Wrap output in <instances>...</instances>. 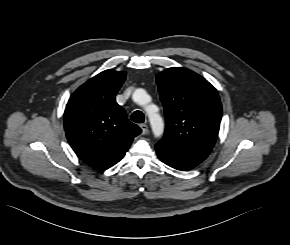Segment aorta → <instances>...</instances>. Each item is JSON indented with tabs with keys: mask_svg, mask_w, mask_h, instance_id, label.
I'll return each mask as SVG.
<instances>
[{
	"mask_svg": "<svg viewBox=\"0 0 290 245\" xmlns=\"http://www.w3.org/2000/svg\"><path fill=\"white\" fill-rule=\"evenodd\" d=\"M146 97H147V93L143 89H137L135 90L133 94V100L138 103H142L143 99ZM146 112H147L154 136L156 138H160L164 132V121L162 117L157 113L155 105H149L146 108Z\"/></svg>",
	"mask_w": 290,
	"mask_h": 245,
	"instance_id": "762f6f07",
	"label": "aorta"
}]
</instances>
